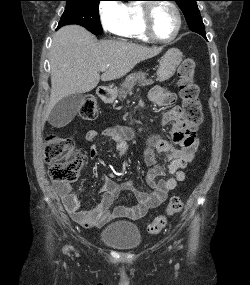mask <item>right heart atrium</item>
Listing matches in <instances>:
<instances>
[{"mask_svg":"<svg viewBox=\"0 0 250 285\" xmlns=\"http://www.w3.org/2000/svg\"><path fill=\"white\" fill-rule=\"evenodd\" d=\"M99 17L103 29L119 35L125 19V4L120 0H105L99 5Z\"/></svg>","mask_w":250,"mask_h":285,"instance_id":"d8ad5b80","label":"right heart atrium"}]
</instances>
